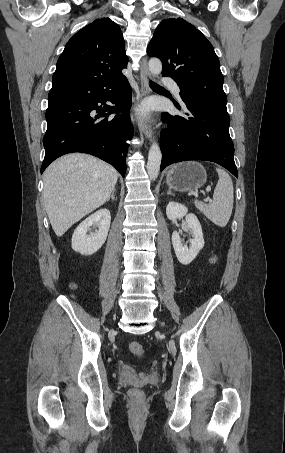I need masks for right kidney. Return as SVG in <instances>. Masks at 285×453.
Returning <instances> with one entry per match:
<instances>
[{
	"label": "right kidney",
	"mask_w": 285,
	"mask_h": 453,
	"mask_svg": "<svg viewBox=\"0 0 285 453\" xmlns=\"http://www.w3.org/2000/svg\"><path fill=\"white\" fill-rule=\"evenodd\" d=\"M111 215L108 209L103 208L82 221L72 235V249L82 255H92L105 243L110 228ZM92 226L98 230L87 232Z\"/></svg>",
	"instance_id": "ca27d5eb"
}]
</instances>
